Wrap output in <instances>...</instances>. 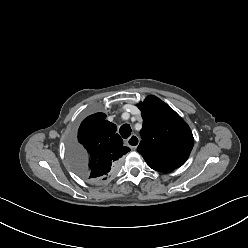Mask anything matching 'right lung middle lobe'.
<instances>
[{
  "label": "right lung middle lobe",
  "mask_w": 248,
  "mask_h": 248,
  "mask_svg": "<svg viewBox=\"0 0 248 248\" xmlns=\"http://www.w3.org/2000/svg\"><path fill=\"white\" fill-rule=\"evenodd\" d=\"M68 155L73 169L81 176H84V169L87 162L86 152L76 143H71L68 148Z\"/></svg>",
  "instance_id": "right-lung-middle-lobe-1"
}]
</instances>
